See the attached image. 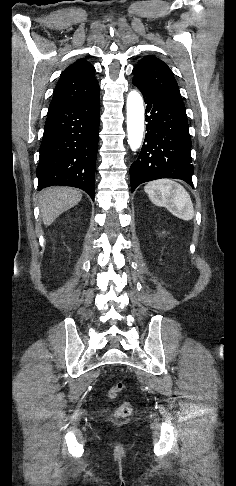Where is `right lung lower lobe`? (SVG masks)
Returning <instances> with one entry per match:
<instances>
[{
    "instance_id": "right-lung-lower-lobe-1",
    "label": "right lung lower lobe",
    "mask_w": 236,
    "mask_h": 486,
    "mask_svg": "<svg viewBox=\"0 0 236 486\" xmlns=\"http://www.w3.org/2000/svg\"><path fill=\"white\" fill-rule=\"evenodd\" d=\"M99 94L49 108L36 170L38 190L64 185L86 191L94 200L99 139Z\"/></svg>"
}]
</instances>
